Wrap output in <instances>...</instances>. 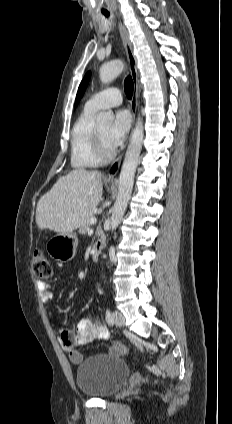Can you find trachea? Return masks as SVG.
Returning <instances> with one entry per match:
<instances>
[{
	"mask_svg": "<svg viewBox=\"0 0 232 424\" xmlns=\"http://www.w3.org/2000/svg\"><path fill=\"white\" fill-rule=\"evenodd\" d=\"M106 17L109 16L108 12H104L103 13ZM124 89H125V93L126 96L131 99L132 95H133V89H134V84H133V80L131 78V76L126 77L125 81H124Z\"/></svg>",
	"mask_w": 232,
	"mask_h": 424,
	"instance_id": "1",
	"label": "trachea"
}]
</instances>
